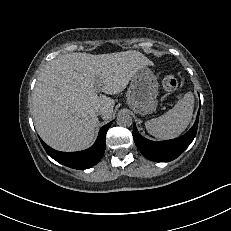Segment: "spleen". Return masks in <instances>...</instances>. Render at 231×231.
Listing matches in <instances>:
<instances>
[{
    "label": "spleen",
    "mask_w": 231,
    "mask_h": 231,
    "mask_svg": "<svg viewBox=\"0 0 231 231\" xmlns=\"http://www.w3.org/2000/svg\"><path fill=\"white\" fill-rule=\"evenodd\" d=\"M194 108V97L187 92L176 105L160 117L145 122L149 134L167 140L178 137L189 125Z\"/></svg>",
    "instance_id": "3e777b00"
}]
</instances>
